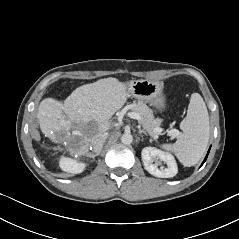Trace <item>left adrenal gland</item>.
<instances>
[{
    "instance_id": "left-adrenal-gland-1",
    "label": "left adrenal gland",
    "mask_w": 239,
    "mask_h": 239,
    "mask_svg": "<svg viewBox=\"0 0 239 239\" xmlns=\"http://www.w3.org/2000/svg\"><path fill=\"white\" fill-rule=\"evenodd\" d=\"M138 132H139V134L143 133V134L147 135V132L142 130L139 126H138Z\"/></svg>"
}]
</instances>
